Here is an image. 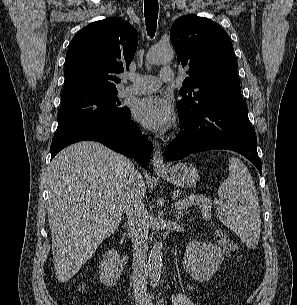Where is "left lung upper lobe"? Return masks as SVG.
Masks as SVG:
<instances>
[{
    "mask_svg": "<svg viewBox=\"0 0 297 305\" xmlns=\"http://www.w3.org/2000/svg\"><path fill=\"white\" fill-rule=\"evenodd\" d=\"M170 39L178 63L187 69L177 109L190 114L206 103L240 91L236 60L229 35L208 18L187 15L171 27Z\"/></svg>",
    "mask_w": 297,
    "mask_h": 305,
    "instance_id": "5c2ea615",
    "label": "left lung upper lobe"
}]
</instances>
